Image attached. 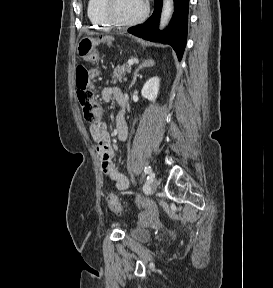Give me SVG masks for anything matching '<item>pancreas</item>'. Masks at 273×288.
I'll use <instances>...</instances> for the list:
<instances>
[{
	"label": "pancreas",
	"mask_w": 273,
	"mask_h": 288,
	"mask_svg": "<svg viewBox=\"0 0 273 288\" xmlns=\"http://www.w3.org/2000/svg\"><path fill=\"white\" fill-rule=\"evenodd\" d=\"M131 72V67L129 66H118L112 75V83L121 82L122 80L126 81V73Z\"/></svg>",
	"instance_id": "obj_1"
}]
</instances>
